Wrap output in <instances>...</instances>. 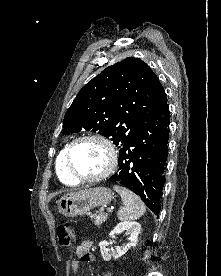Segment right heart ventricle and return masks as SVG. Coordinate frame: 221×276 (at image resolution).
Segmentation results:
<instances>
[{
  "instance_id": "1",
  "label": "right heart ventricle",
  "mask_w": 221,
  "mask_h": 276,
  "mask_svg": "<svg viewBox=\"0 0 221 276\" xmlns=\"http://www.w3.org/2000/svg\"><path fill=\"white\" fill-rule=\"evenodd\" d=\"M67 147H64L58 157H57V161H56V170H57V174L59 179L65 183V184H76L78 181H76L75 179H73L67 169H66V165H65V151H66Z\"/></svg>"
}]
</instances>
